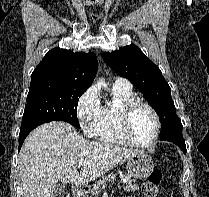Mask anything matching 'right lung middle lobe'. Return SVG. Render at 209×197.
<instances>
[{
	"label": "right lung middle lobe",
	"instance_id": "dd1d6c3e",
	"mask_svg": "<svg viewBox=\"0 0 209 197\" xmlns=\"http://www.w3.org/2000/svg\"><path fill=\"white\" fill-rule=\"evenodd\" d=\"M88 87L66 82H31L21 129L31 125L65 121L80 128L77 119L78 98Z\"/></svg>",
	"mask_w": 209,
	"mask_h": 197
}]
</instances>
